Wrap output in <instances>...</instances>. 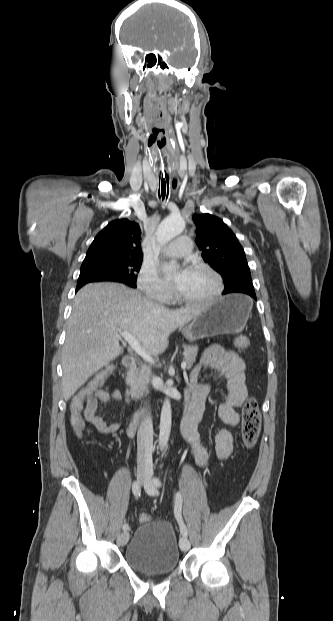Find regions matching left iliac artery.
Instances as JSON below:
<instances>
[{"instance_id": "obj_1", "label": "left iliac artery", "mask_w": 333, "mask_h": 621, "mask_svg": "<svg viewBox=\"0 0 333 621\" xmlns=\"http://www.w3.org/2000/svg\"><path fill=\"white\" fill-rule=\"evenodd\" d=\"M151 486L154 487H161L162 486V482L160 481L159 478H153L152 480V485H149L148 483L145 482V489L148 490ZM182 504H183V497L181 492H176L175 495V507H174V514H175V518L179 524V528H180V532L183 536L187 537L188 536V530L187 527L182 519Z\"/></svg>"}]
</instances>
